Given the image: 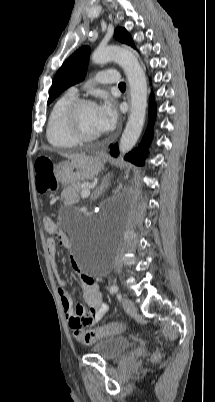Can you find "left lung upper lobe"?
Here are the masks:
<instances>
[{
    "instance_id": "obj_1",
    "label": "left lung upper lobe",
    "mask_w": 215,
    "mask_h": 402,
    "mask_svg": "<svg viewBox=\"0 0 215 402\" xmlns=\"http://www.w3.org/2000/svg\"><path fill=\"white\" fill-rule=\"evenodd\" d=\"M114 36L121 43L135 48L133 40L125 28L117 27ZM89 56L90 48L88 46H83L63 63L54 77L49 93L48 104H50L65 89L84 79Z\"/></svg>"
}]
</instances>
